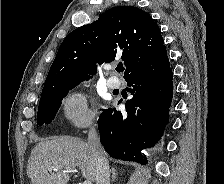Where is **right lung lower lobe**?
Wrapping results in <instances>:
<instances>
[{"label": "right lung lower lobe", "mask_w": 224, "mask_h": 184, "mask_svg": "<svg viewBox=\"0 0 224 184\" xmlns=\"http://www.w3.org/2000/svg\"><path fill=\"white\" fill-rule=\"evenodd\" d=\"M170 63L128 78L133 98L126 112L105 109L98 119L100 141L107 153L125 161L142 164L141 150L153 146L162 136L173 97Z\"/></svg>", "instance_id": "1"}]
</instances>
